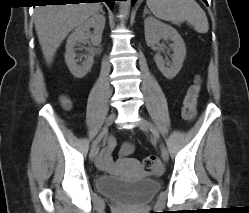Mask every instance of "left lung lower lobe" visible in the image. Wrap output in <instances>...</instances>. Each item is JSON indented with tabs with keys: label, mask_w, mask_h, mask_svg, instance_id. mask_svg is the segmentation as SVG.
<instances>
[{
	"label": "left lung lower lobe",
	"mask_w": 249,
	"mask_h": 213,
	"mask_svg": "<svg viewBox=\"0 0 249 213\" xmlns=\"http://www.w3.org/2000/svg\"><path fill=\"white\" fill-rule=\"evenodd\" d=\"M206 4H208L207 3V0H203ZM136 2V0H132V5H134V3Z\"/></svg>",
	"instance_id": "1"
}]
</instances>
